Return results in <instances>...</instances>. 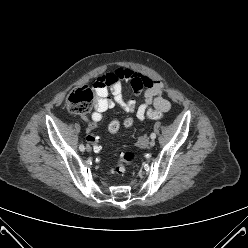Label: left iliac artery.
I'll list each match as a JSON object with an SVG mask.
<instances>
[{
  "instance_id": "44dca946",
  "label": "left iliac artery",
  "mask_w": 248,
  "mask_h": 248,
  "mask_svg": "<svg viewBox=\"0 0 248 248\" xmlns=\"http://www.w3.org/2000/svg\"><path fill=\"white\" fill-rule=\"evenodd\" d=\"M150 137H151V139H155L156 138V134L155 133H151Z\"/></svg>"
}]
</instances>
